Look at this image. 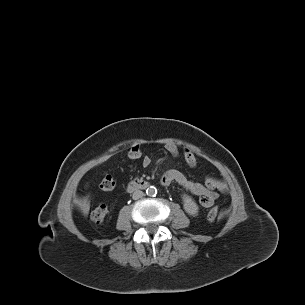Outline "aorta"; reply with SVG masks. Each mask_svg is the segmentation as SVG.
<instances>
[{
  "label": "aorta",
  "mask_w": 305,
  "mask_h": 305,
  "mask_svg": "<svg viewBox=\"0 0 305 305\" xmlns=\"http://www.w3.org/2000/svg\"><path fill=\"white\" fill-rule=\"evenodd\" d=\"M148 196H155L157 194V189L154 186H150L146 190Z\"/></svg>",
  "instance_id": "aorta-1"
}]
</instances>
